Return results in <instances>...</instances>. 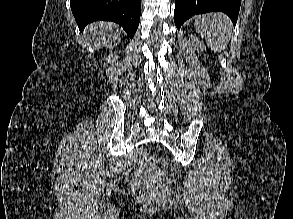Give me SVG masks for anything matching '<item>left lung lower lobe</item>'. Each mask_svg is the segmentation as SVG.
Here are the masks:
<instances>
[{
  "instance_id": "0a47b994",
  "label": "left lung lower lobe",
  "mask_w": 293,
  "mask_h": 219,
  "mask_svg": "<svg viewBox=\"0 0 293 219\" xmlns=\"http://www.w3.org/2000/svg\"><path fill=\"white\" fill-rule=\"evenodd\" d=\"M240 9V0H176L174 21L177 28L190 17L212 11L227 14L235 25Z\"/></svg>"
}]
</instances>
